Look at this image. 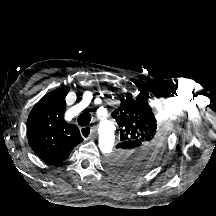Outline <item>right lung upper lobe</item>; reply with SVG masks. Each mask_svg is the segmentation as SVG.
Listing matches in <instances>:
<instances>
[{
  "label": "right lung upper lobe",
  "mask_w": 216,
  "mask_h": 216,
  "mask_svg": "<svg viewBox=\"0 0 216 216\" xmlns=\"http://www.w3.org/2000/svg\"><path fill=\"white\" fill-rule=\"evenodd\" d=\"M69 89L60 87L46 94L31 110L27 121V137L33 151L44 162L58 164L68 158L81 143L77 126L64 120L65 97Z\"/></svg>",
  "instance_id": "obj_1"
}]
</instances>
